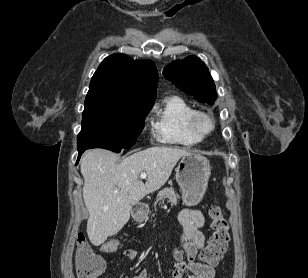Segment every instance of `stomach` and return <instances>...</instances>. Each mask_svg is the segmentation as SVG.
<instances>
[{
	"label": "stomach",
	"mask_w": 308,
	"mask_h": 278,
	"mask_svg": "<svg viewBox=\"0 0 308 278\" xmlns=\"http://www.w3.org/2000/svg\"><path fill=\"white\" fill-rule=\"evenodd\" d=\"M176 171V181L181 188L183 204L197 205L204 196L211 175L209 161L204 156L190 153L181 158Z\"/></svg>",
	"instance_id": "stomach-1"
}]
</instances>
